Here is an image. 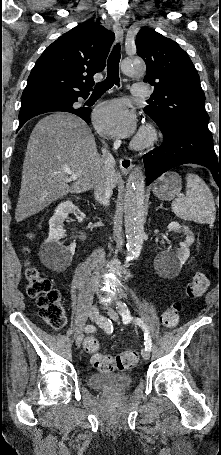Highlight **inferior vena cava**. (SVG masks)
Masks as SVG:
<instances>
[{
	"label": "inferior vena cava",
	"instance_id": "1",
	"mask_svg": "<svg viewBox=\"0 0 221 455\" xmlns=\"http://www.w3.org/2000/svg\"><path fill=\"white\" fill-rule=\"evenodd\" d=\"M102 161V170L94 183V197L103 206H108L113 193L112 177L115 172V159L109 152L107 145H104L102 149Z\"/></svg>",
	"mask_w": 221,
	"mask_h": 455
}]
</instances>
